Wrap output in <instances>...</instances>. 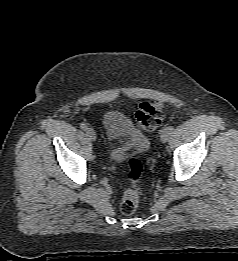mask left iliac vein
<instances>
[{
  "mask_svg": "<svg viewBox=\"0 0 238 261\" xmlns=\"http://www.w3.org/2000/svg\"><path fill=\"white\" fill-rule=\"evenodd\" d=\"M170 135H171V131L169 130V127L164 128V129L162 130L161 136H160L161 141H162L163 143H166V142L169 140Z\"/></svg>",
  "mask_w": 238,
  "mask_h": 261,
  "instance_id": "4c4485c4",
  "label": "left iliac vein"
}]
</instances>
